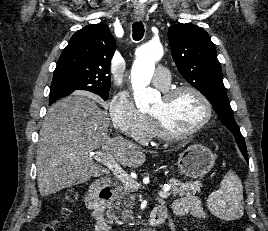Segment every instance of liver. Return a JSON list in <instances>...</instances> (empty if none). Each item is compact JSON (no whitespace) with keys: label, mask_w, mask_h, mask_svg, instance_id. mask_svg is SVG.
<instances>
[{"label":"liver","mask_w":268,"mask_h":231,"mask_svg":"<svg viewBox=\"0 0 268 231\" xmlns=\"http://www.w3.org/2000/svg\"><path fill=\"white\" fill-rule=\"evenodd\" d=\"M109 125L108 113L84 93L64 98L48 109L36 156L41 196L102 176L105 169L94 161L98 154H111L130 168L145 162V154L135 143L122 137L109 138Z\"/></svg>","instance_id":"6515ba94"}]
</instances>
